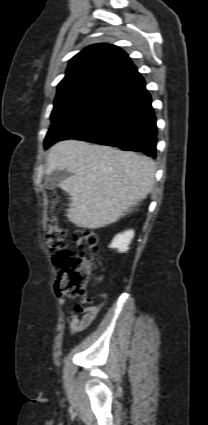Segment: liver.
I'll return each instance as SVG.
<instances>
[{"label":"liver","mask_w":208,"mask_h":425,"mask_svg":"<svg viewBox=\"0 0 208 425\" xmlns=\"http://www.w3.org/2000/svg\"><path fill=\"white\" fill-rule=\"evenodd\" d=\"M73 176L60 187L71 196L67 218L81 228L97 229L118 221L151 192L154 161L131 151L64 140L50 149L46 174Z\"/></svg>","instance_id":"obj_1"}]
</instances>
